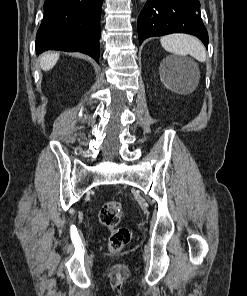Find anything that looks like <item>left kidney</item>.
<instances>
[{
    "label": "left kidney",
    "mask_w": 247,
    "mask_h": 296,
    "mask_svg": "<svg viewBox=\"0 0 247 296\" xmlns=\"http://www.w3.org/2000/svg\"><path fill=\"white\" fill-rule=\"evenodd\" d=\"M165 63L168 67V70L170 71V73L172 74H185V66L182 63L181 60L176 59V58H167L165 60ZM167 81V80H166Z\"/></svg>",
    "instance_id": "1"
}]
</instances>
